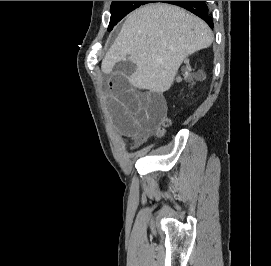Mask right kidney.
I'll list each match as a JSON object with an SVG mask.
<instances>
[{"label":"right kidney","instance_id":"obj_1","mask_svg":"<svg viewBox=\"0 0 271 266\" xmlns=\"http://www.w3.org/2000/svg\"><path fill=\"white\" fill-rule=\"evenodd\" d=\"M190 70V68H188ZM185 78H187L188 80H191L190 74H188V72L185 73Z\"/></svg>","mask_w":271,"mask_h":266}]
</instances>
